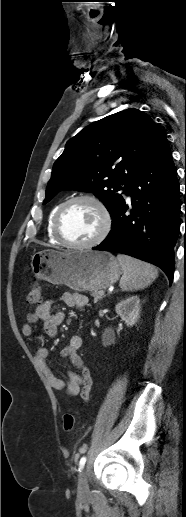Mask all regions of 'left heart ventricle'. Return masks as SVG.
<instances>
[{
  "label": "left heart ventricle",
  "instance_id": "left-heart-ventricle-1",
  "mask_svg": "<svg viewBox=\"0 0 186 517\" xmlns=\"http://www.w3.org/2000/svg\"><path fill=\"white\" fill-rule=\"evenodd\" d=\"M101 215L90 202L79 201L67 208L61 220L64 237L74 243L92 240L100 231Z\"/></svg>",
  "mask_w": 186,
  "mask_h": 517
}]
</instances>
